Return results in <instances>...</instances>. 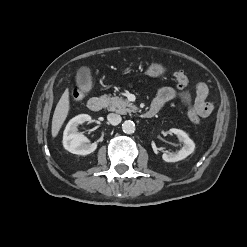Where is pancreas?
Masks as SVG:
<instances>
[{
	"instance_id": "1",
	"label": "pancreas",
	"mask_w": 247,
	"mask_h": 247,
	"mask_svg": "<svg viewBox=\"0 0 247 247\" xmlns=\"http://www.w3.org/2000/svg\"><path fill=\"white\" fill-rule=\"evenodd\" d=\"M109 110L120 114L132 113L137 110V107L122 97L114 96L109 98Z\"/></svg>"
}]
</instances>
